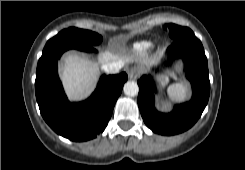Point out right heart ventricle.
Wrapping results in <instances>:
<instances>
[{
  "instance_id": "right-heart-ventricle-1",
  "label": "right heart ventricle",
  "mask_w": 245,
  "mask_h": 170,
  "mask_svg": "<svg viewBox=\"0 0 245 170\" xmlns=\"http://www.w3.org/2000/svg\"><path fill=\"white\" fill-rule=\"evenodd\" d=\"M153 47L150 41H140L132 46V51L136 53H146Z\"/></svg>"
}]
</instances>
